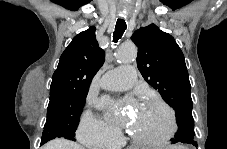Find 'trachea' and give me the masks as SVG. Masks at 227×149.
<instances>
[{
    "mask_svg": "<svg viewBox=\"0 0 227 149\" xmlns=\"http://www.w3.org/2000/svg\"><path fill=\"white\" fill-rule=\"evenodd\" d=\"M127 28L125 20L118 19L115 26V31L113 32V42L117 43L122 37Z\"/></svg>",
    "mask_w": 227,
    "mask_h": 149,
    "instance_id": "1",
    "label": "trachea"
}]
</instances>
